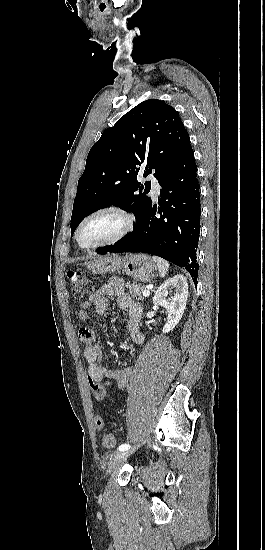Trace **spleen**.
I'll return each instance as SVG.
<instances>
[{"instance_id": "spleen-1", "label": "spleen", "mask_w": 265, "mask_h": 550, "mask_svg": "<svg viewBox=\"0 0 265 550\" xmlns=\"http://www.w3.org/2000/svg\"><path fill=\"white\" fill-rule=\"evenodd\" d=\"M153 260L157 264L160 277H165V275H166V273L169 269V263L167 261H165L164 259L156 257V256H153Z\"/></svg>"}]
</instances>
